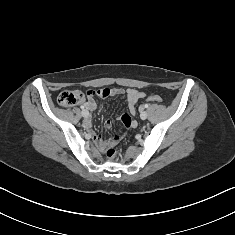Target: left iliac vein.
<instances>
[{
    "label": "left iliac vein",
    "instance_id": "obj_1",
    "mask_svg": "<svg viewBox=\"0 0 235 235\" xmlns=\"http://www.w3.org/2000/svg\"><path fill=\"white\" fill-rule=\"evenodd\" d=\"M140 117L143 120L146 119L147 118V112L146 111L141 112Z\"/></svg>",
    "mask_w": 235,
    "mask_h": 235
}]
</instances>
